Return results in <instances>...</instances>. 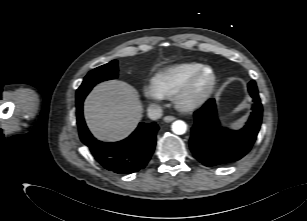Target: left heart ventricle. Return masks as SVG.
<instances>
[{
	"label": "left heart ventricle",
	"instance_id": "b2bd125f",
	"mask_svg": "<svg viewBox=\"0 0 307 221\" xmlns=\"http://www.w3.org/2000/svg\"><path fill=\"white\" fill-rule=\"evenodd\" d=\"M208 79H209V73H207V74L203 77V79H202V81H201V85L204 86V85L207 83Z\"/></svg>",
	"mask_w": 307,
	"mask_h": 221
}]
</instances>
